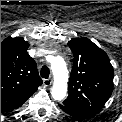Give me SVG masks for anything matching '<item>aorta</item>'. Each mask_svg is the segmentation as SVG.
I'll use <instances>...</instances> for the list:
<instances>
[{"label": "aorta", "instance_id": "762f6f07", "mask_svg": "<svg viewBox=\"0 0 122 122\" xmlns=\"http://www.w3.org/2000/svg\"><path fill=\"white\" fill-rule=\"evenodd\" d=\"M51 69L54 75V83L51 95L55 100H63L67 94L68 69L65 60L57 56L51 62Z\"/></svg>", "mask_w": 122, "mask_h": 122}]
</instances>
